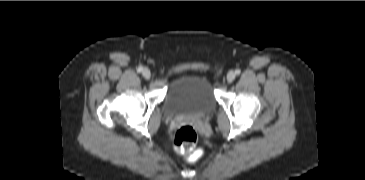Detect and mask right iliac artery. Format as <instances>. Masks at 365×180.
<instances>
[{
    "label": "right iliac artery",
    "mask_w": 365,
    "mask_h": 180,
    "mask_svg": "<svg viewBox=\"0 0 365 180\" xmlns=\"http://www.w3.org/2000/svg\"><path fill=\"white\" fill-rule=\"evenodd\" d=\"M142 70H143L142 66H139L138 69H137L138 72H142Z\"/></svg>",
    "instance_id": "right-iliac-artery-1"
}]
</instances>
